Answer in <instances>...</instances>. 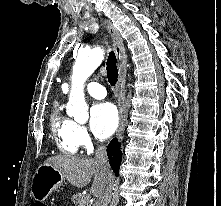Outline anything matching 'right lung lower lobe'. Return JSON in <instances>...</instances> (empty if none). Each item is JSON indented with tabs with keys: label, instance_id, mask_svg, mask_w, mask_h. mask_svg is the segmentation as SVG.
I'll return each mask as SVG.
<instances>
[{
	"label": "right lung lower lobe",
	"instance_id": "right-lung-lower-lobe-1",
	"mask_svg": "<svg viewBox=\"0 0 221 206\" xmlns=\"http://www.w3.org/2000/svg\"><path fill=\"white\" fill-rule=\"evenodd\" d=\"M107 155L110 160V165L116 176L119 174L120 163L122 160V152L120 150V143L117 139H113L107 147Z\"/></svg>",
	"mask_w": 221,
	"mask_h": 206
}]
</instances>
